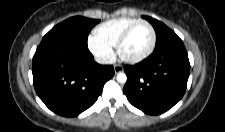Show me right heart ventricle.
Listing matches in <instances>:
<instances>
[{"label": "right heart ventricle", "instance_id": "right-heart-ventricle-1", "mask_svg": "<svg viewBox=\"0 0 225 132\" xmlns=\"http://www.w3.org/2000/svg\"><path fill=\"white\" fill-rule=\"evenodd\" d=\"M136 20L130 17L108 20L95 28L94 36L103 43L115 47L122 32Z\"/></svg>", "mask_w": 225, "mask_h": 132}]
</instances>
